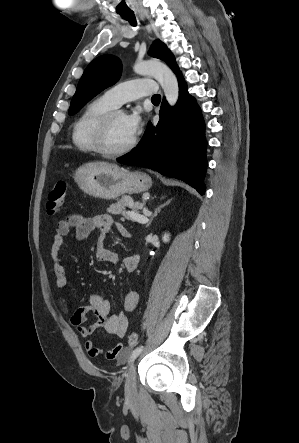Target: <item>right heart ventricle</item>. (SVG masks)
<instances>
[{
	"mask_svg": "<svg viewBox=\"0 0 299 443\" xmlns=\"http://www.w3.org/2000/svg\"><path fill=\"white\" fill-rule=\"evenodd\" d=\"M116 107L103 96L91 101L74 123L72 142L83 153H96L94 134L98 121Z\"/></svg>",
	"mask_w": 299,
	"mask_h": 443,
	"instance_id": "obj_1",
	"label": "right heart ventricle"
}]
</instances>
